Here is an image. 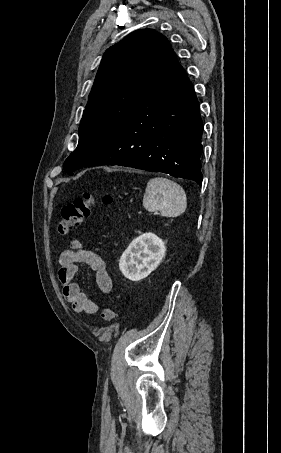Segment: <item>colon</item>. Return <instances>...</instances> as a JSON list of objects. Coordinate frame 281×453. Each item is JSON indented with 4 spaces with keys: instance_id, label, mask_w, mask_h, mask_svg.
<instances>
[{
    "instance_id": "5ec220e1",
    "label": "colon",
    "mask_w": 281,
    "mask_h": 453,
    "mask_svg": "<svg viewBox=\"0 0 281 453\" xmlns=\"http://www.w3.org/2000/svg\"><path fill=\"white\" fill-rule=\"evenodd\" d=\"M98 202L113 204L114 199L108 193L85 194L62 206L61 217L57 227L60 233L66 234L80 227L90 215V210ZM116 316L114 305H104L101 310V321L111 323Z\"/></svg>"
}]
</instances>
